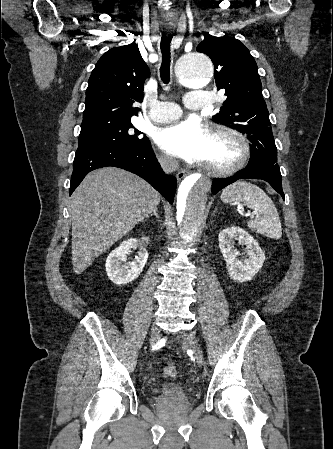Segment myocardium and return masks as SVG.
I'll list each match as a JSON object with an SVG mask.
<instances>
[{
    "instance_id": "obj_1",
    "label": "myocardium",
    "mask_w": 333,
    "mask_h": 449,
    "mask_svg": "<svg viewBox=\"0 0 333 449\" xmlns=\"http://www.w3.org/2000/svg\"><path fill=\"white\" fill-rule=\"evenodd\" d=\"M211 136L231 142L236 148V156L226 165L215 166L204 163L203 167L206 171L213 176L226 177L237 172L246 165L250 157V146L244 136L234 130L224 127L214 128L211 131Z\"/></svg>"
}]
</instances>
